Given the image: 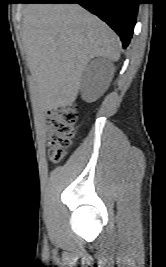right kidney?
Masks as SVG:
<instances>
[{
	"mask_svg": "<svg viewBox=\"0 0 166 267\" xmlns=\"http://www.w3.org/2000/svg\"><path fill=\"white\" fill-rule=\"evenodd\" d=\"M104 65L96 63L92 71L84 77L82 82V98L87 102L96 100L103 92Z\"/></svg>",
	"mask_w": 166,
	"mask_h": 267,
	"instance_id": "1",
	"label": "right kidney"
}]
</instances>
